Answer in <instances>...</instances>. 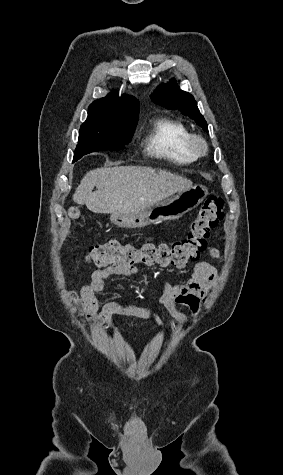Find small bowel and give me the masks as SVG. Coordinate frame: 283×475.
<instances>
[{
  "label": "small bowel",
  "instance_id": "1",
  "mask_svg": "<svg viewBox=\"0 0 283 475\" xmlns=\"http://www.w3.org/2000/svg\"><path fill=\"white\" fill-rule=\"evenodd\" d=\"M220 240L223 242L225 239L222 237ZM209 254L215 259L222 257L220 251L215 247L209 248ZM217 275L218 270L214 265L207 261H200L195 264L192 277L184 284H171L157 278L148 279L160 289L162 293L160 303L166 309L174 311L175 305L180 304L188 307L194 315H198ZM114 276L147 279V276L135 265L115 264L96 269L92 273L90 282L81 289L82 303L88 320L108 331L113 329V316L147 319L160 328L161 319L153 309L137 308L114 301L106 302L100 306L96 294L103 290L105 281ZM181 324L185 326L184 321H181Z\"/></svg>",
  "mask_w": 283,
  "mask_h": 475
}]
</instances>
